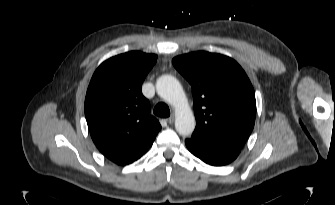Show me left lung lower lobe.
I'll return each mask as SVG.
<instances>
[{"label":"left lung lower lobe","instance_id":"left-lung-lower-lobe-1","mask_svg":"<svg viewBox=\"0 0 335 205\" xmlns=\"http://www.w3.org/2000/svg\"><path fill=\"white\" fill-rule=\"evenodd\" d=\"M189 151L207 164L222 166L232 162L241 149L211 144L205 140L191 137L185 140Z\"/></svg>","mask_w":335,"mask_h":205}]
</instances>
